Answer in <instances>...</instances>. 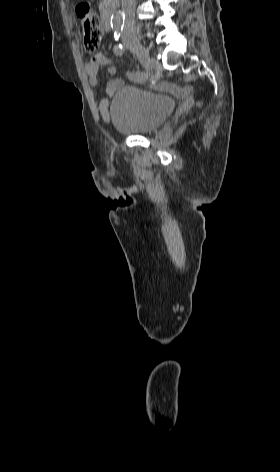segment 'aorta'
Here are the masks:
<instances>
[{
  "mask_svg": "<svg viewBox=\"0 0 280 472\" xmlns=\"http://www.w3.org/2000/svg\"><path fill=\"white\" fill-rule=\"evenodd\" d=\"M125 21V14L123 11L118 10L114 13L113 17L111 18V26L114 29H119L124 25Z\"/></svg>",
  "mask_w": 280,
  "mask_h": 472,
  "instance_id": "1",
  "label": "aorta"
}]
</instances>
